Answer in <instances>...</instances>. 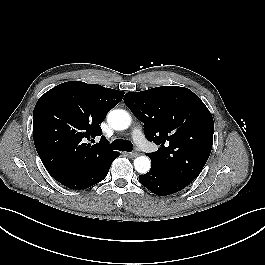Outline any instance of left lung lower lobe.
I'll use <instances>...</instances> for the list:
<instances>
[{
    "instance_id": "1",
    "label": "left lung lower lobe",
    "mask_w": 265,
    "mask_h": 265,
    "mask_svg": "<svg viewBox=\"0 0 265 265\" xmlns=\"http://www.w3.org/2000/svg\"><path fill=\"white\" fill-rule=\"evenodd\" d=\"M140 183L154 194L166 196L181 191L191 182L151 166L148 173L139 176Z\"/></svg>"
}]
</instances>
